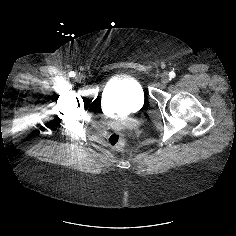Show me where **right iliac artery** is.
Wrapping results in <instances>:
<instances>
[{"label": "right iliac artery", "instance_id": "obj_1", "mask_svg": "<svg viewBox=\"0 0 236 236\" xmlns=\"http://www.w3.org/2000/svg\"><path fill=\"white\" fill-rule=\"evenodd\" d=\"M75 75H76V74H75L74 71H71V72L69 73V76H70V77H75Z\"/></svg>", "mask_w": 236, "mask_h": 236}]
</instances>
